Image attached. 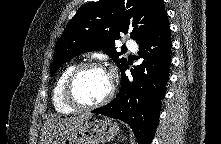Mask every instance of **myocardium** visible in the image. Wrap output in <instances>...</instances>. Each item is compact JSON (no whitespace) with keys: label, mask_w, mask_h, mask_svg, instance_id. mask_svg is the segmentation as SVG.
<instances>
[{"label":"myocardium","mask_w":221,"mask_h":144,"mask_svg":"<svg viewBox=\"0 0 221 144\" xmlns=\"http://www.w3.org/2000/svg\"><path fill=\"white\" fill-rule=\"evenodd\" d=\"M94 68L106 71L105 67L99 62H84L77 65L65 80L63 85V100L70 108L74 110H90L101 107L112 99L115 91L114 84L112 82L108 93L101 100L95 103L87 104L77 99L74 90L77 79L84 71Z\"/></svg>","instance_id":"1"}]
</instances>
